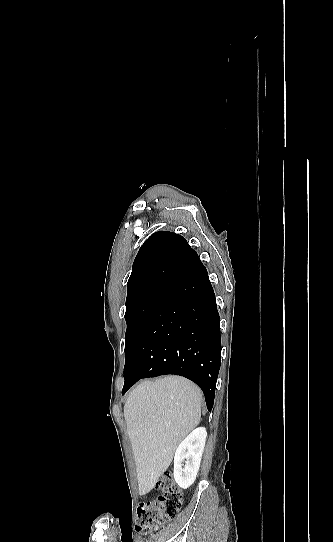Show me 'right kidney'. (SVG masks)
<instances>
[{
    "instance_id": "right-kidney-1",
    "label": "right kidney",
    "mask_w": 333,
    "mask_h": 542,
    "mask_svg": "<svg viewBox=\"0 0 333 542\" xmlns=\"http://www.w3.org/2000/svg\"><path fill=\"white\" fill-rule=\"evenodd\" d=\"M206 428H196L181 444L174 456V480L187 490L194 484L206 442Z\"/></svg>"
}]
</instances>
